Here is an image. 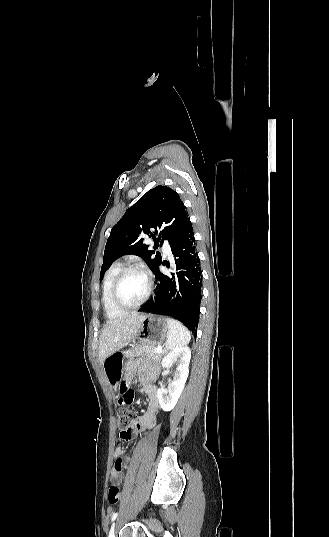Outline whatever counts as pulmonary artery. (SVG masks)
Wrapping results in <instances>:
<instances>
[{
    "label": "pulmonary artery",
    "mask_w": 329,
    "mask_h": 537,
    "mask_svg": "<svg viewBox=\"0 0 329 537\" xmlns=\"http://www.w3.org/2000/svg\"><path fill=\"white\" fill-rule=\"evenodd\" d=\"M163 252H164L165 255H170V253H171V248H170V246H169L168 244H164V246H163Z\"/></svg>",
    "instance_id": "e3ab8cb5"
}]
</instances>
